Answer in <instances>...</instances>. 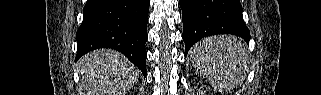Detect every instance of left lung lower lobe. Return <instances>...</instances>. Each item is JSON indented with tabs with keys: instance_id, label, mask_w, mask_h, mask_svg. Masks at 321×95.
Returning a JSON list of instances; mask_svg holds the SVG:
<instances>
[{
	"instance_id": "1",
	"label": "left lung lower lobe",
	"mask_w": 321,
	"mask_h": 95,
	"mask_svg": "<svg viewBox=\"0 0 321 95\" xmlns=\"http://www.w3.org/2000/svg\"><path fill=\"white\" fill-rule=\"evenodd\" d=\"M185 54L200 39L215 34H233L249 42L239 0H180Z\"/></svg>"
}]
</instances>
